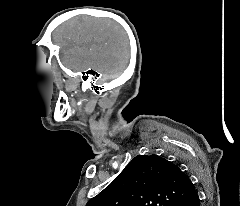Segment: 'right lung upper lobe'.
<instances>
[{
    "mask_svg": "<svg viewBox=\"0 0 240 206\" xmlns=\"http://www.w3.org/2000/svg\"><path fill=\"white\" fill-rule=\"evenodd\" d=\"M195 193L177 165L158 155H138L86 206H174Z\"/></svg>",
    "mask_w": 240,
    "mask_h": 206,
    "instance_id": "cb5924a9",
    "label": "right lung upper lobe"
}]
</instances>
